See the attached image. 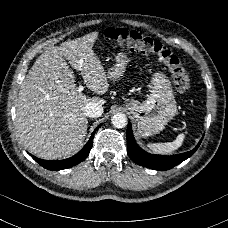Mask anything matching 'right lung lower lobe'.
Returning <instances> with one entry per match:
<instances>
[{"instance_id": "1", "label": "right lung lower lobe", "mask_w": 228, "mask_h": 228, "mask_svg": "<svg viewBox=\"0 0 228 228\" xmlns=\"http://www.w3.org/2000/svg\"><path fill=\"white\" fill-rule=\"evenodd\" d=\"M100 126H98L92 133L89 141L87 142V144L82 148V150L77 153L76 155L68 158V159H64V160H42L39 159L33 155L30 154V156L37 161L42 167L48 169V170H62V169H66V168H70L72 166H75L77 164H79L80 162H82L88 155L89 152L92 148V144H93V137L95 132L98 130Z\"/></svg>"}]
</instances>
